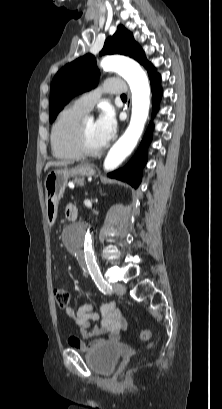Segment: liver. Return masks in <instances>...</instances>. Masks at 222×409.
I'll return each mask as SVG.
<instances>
[{"label": "liver", "mask_w": 222, "mask_h": 409, "mask_svg": "<svg viewBox=\"0 0 222 409\" xmlns=\"http://www.w3.org/2000/svg\"><path fill=\"white\" fill-rule=\"evenodd\" d=\"M68 164H69V163H68V162H65V161H50V162H48V163L46 164V166H45V171L48 170V168L51 167V166H55V167H58V166H67Z\"/></svg>", "instance_id": "obj_1"}]
</instances>
